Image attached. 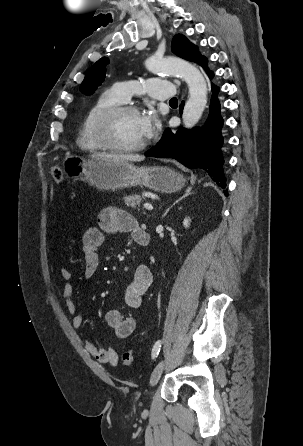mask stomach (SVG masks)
<instances>
[{
    "mask_svg": "<svg viewBox=\"0 0 303 446\" xmlns=\"http://www.w3.org/2000/svg\"><path fill=\"white\" fill-rule=\"evenodd\" d=\"M62 170L68 178L85 181L100 190L140 185L162 193H173L181 190L186 182L182 174L168 167H136L127 161L84 159L71 154L63 159Z\"/></svg>",
    "mask_w": 303,
    "mask_h": 446,
    "instance_id": "1",
    "label": "stomach"
}]
</instances>
